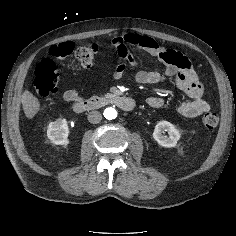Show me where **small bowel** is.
Segmentation results:
<instances>
[{"label": "small bowel", "mask_w": 236, "mask_h": 236, "mask_svg": "<svg viewBox=\"0 0 236 236\" xmlns=\"http://www.w3.org/2000/svg\"><path fill=\"white\" fill-rule=\"evenodd\" d=\"M113 45L121 59L116 67L113 77L120 79L126 65L134 66L136 59L132 54V47H138L158 58L165 66V76L170 78L172 84L184 91L189 99L182 101L177 106V112L187 118H194L210 110V104L206 101L204 87L199 81L189 59L172 49H166L151 37L136 33H128L113 39ZM163 76L157 71L139 70L135 74V81L139 84H155L162 80ZM63 101L74 104L80 99L76 90H66L62 94ZM147 104L153 108H160L164 100L152 96L147 98Z\"/></svg>", "instance_id": "1"}]
</instances>
